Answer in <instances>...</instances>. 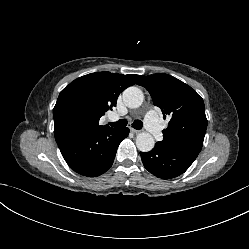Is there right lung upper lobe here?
Returning a JSON list of instances; mask_svg holds the SVG:
<instances>
[{
  "mask_svg": "<svg viewBox=\"0 0 249 249\" xmlns=\"http://www.w3.org/2000/svg\"><path fill=\"white\" fill-rule=\"evenodd\" d=\"M143 76L96 72L77 78L59 94L53 109L54 134L62 132L96 133L112 129L99 125L105 112L116 106L119 94L139 84Z\"/></svg>",
  "mask_w": 249,
  "mask_h": 249,
  "instance_id": "cb5924a9",
  "label": "right lung upper lobe"
}]
</instances>
